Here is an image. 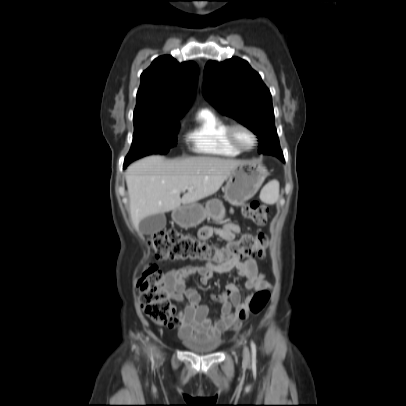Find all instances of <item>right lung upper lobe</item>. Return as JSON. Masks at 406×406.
<instances>
[{"label": "right lung upper lobe", "mask_w": 406, "mask_h": 406, "mask_svg": "<svg viewBox=\"0 0 406 406\" xmlns=\"http://www.w3.org/2000/svg\"><path fill=\"white\" fill-rule=\"evenodd\" d=\"M199 68L193 61L156 58L141 75L135 116L180 118L189 108Z\"/></svg>", "instance_id": "obj_1"}]
</instances>
